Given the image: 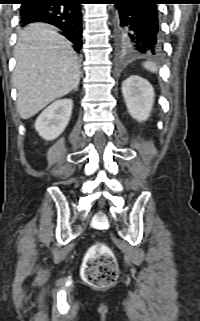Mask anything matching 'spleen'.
Segmentation results:
<instances>
[{"mask_svg":"<svg viewBox=\"0 0 200 321\" xmlns=\"http://www.w3.org/2000/svg\"><path fill=\"white\" fill-rule=\"evenodd\" d=\"M143 67L153 73H156L158 71L157 65L151 61H145L143 63Z\"/></svg>","mask_w":200,"mask_h":321,"instance_id":"obj_1","label":"spleen"}]
</instances>
